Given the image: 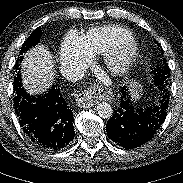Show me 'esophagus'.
<instances>
[{
    "label": "esophagus",
    "mask_w": 183,
    "mask_h": 183,
    "mask_svg": "<svg viewBox=\"0 0 183 183\" xmlns=\"http://www.w3.org/2000/svg\"><path fill=\"white\" fill-rule=\"evenodd\" d=\"M113 97L112 90L101 86H93L81 91L77 96V104L82 108H90L99 101L111 100Z\"/></svg>",
    "instance_id": "esophagus-1"
}]
</instances>
